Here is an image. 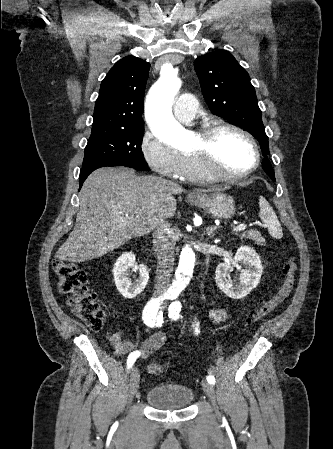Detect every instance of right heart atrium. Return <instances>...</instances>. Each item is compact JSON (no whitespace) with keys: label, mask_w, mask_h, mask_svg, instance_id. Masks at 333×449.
<instances>
[{"label":"right heart atrium","mask_w":333,"mask_h":449,"mask_svg":"<svg viewBox=\"0 0 333 449\" xmlns=\"http://www.w3.org/2000/svg\"><path fill=\"white\" fill-rule=\"evenodd\" d=\"M140 150L146 163L160 176L181 178L184 157L177 150L164 143L152 132H145Z\"/></svg>","instance_id":"d8ad5b80"}]
</instances>
